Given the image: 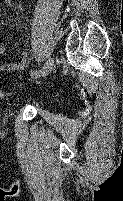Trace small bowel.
<instances>
[{
  "mask_svg": "<svg viewBox=\"0 0 123 201\" xmlns=\"http://www.w3.org/2000/svg\"><path fill=\"white\" fill-rule=\"evenodd\" d=\"M11 39H12V37H9L5 42L0 43V56L5 53L8 42ZM27 61H28V54H27V52L23 51V52H21L17 62L0 65V73L22 70L25 68Z\"/></svg>",
  "mask_w": 123,
  "mask_h": 201,
  "instance_id": "obj_1",
  "label": "small bowel"
}]
</instances>
